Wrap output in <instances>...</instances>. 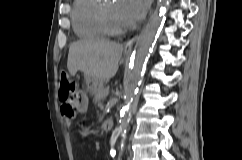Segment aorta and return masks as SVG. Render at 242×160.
I'll list each match as a JSON object with an SVG mask.
<instances>
[{
    "label": "aorta",
    "instance_id": "762f6f07",
    "mask_svg": "<svg viewBox=\"0 0 242 160\" xmlns=\"http://www.w3.org/2000/svg\"><path fill=\"white\" fill-rule=\"evenodd\" d=\"M168 6V0H158L154 13L136 40L132 64L124 75V105L121 110L120 126L116 128L110 138V146L114 148L119 135L125 137L130 122V101L134 96L137 85L142 77L143 68L149 55L153 40L163 20V13Z\"/></svg>",
    "mask_w": 242,
    "mask_h": 160
}]
</instances>
